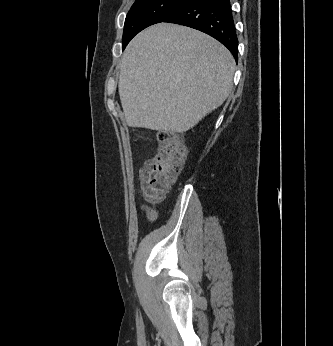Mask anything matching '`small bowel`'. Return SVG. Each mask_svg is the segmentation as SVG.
<instances>
[{
	"mask_svg": "<svg viewBox=\"0 0 333 346\" xmlns=\"http://www.w3.org/2000/svg\"><path fill=\"white\" fill-rule=\"evenodd\" d=\"M141 210L145 213L147 219L150 222H154L157 219V212L146 204L141 205Z\"/></svg>",
	"mask_w": 333,
	"mask_h": 346,
	"instance_id": "1",
	"label": "small bowel"
}]
</instances>
